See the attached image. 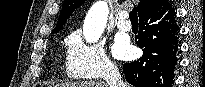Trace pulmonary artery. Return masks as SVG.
Here are the masks:
<instances>
[{"mask_svg": "<svg viewBox=\"0 0 205 87\" xmlns=\"http://www.w3.org/2000/svg\"><path fill=\"white\" fill-rule=\"evenodd\" d=\"M117 27L122 31H130L131 24L127 20V12L121 11L118 15Z\"/></svg>", "mask_w": 205, "mask_h": 87, "instance_id": "pulmonary-artery-1", "label": "pulmonary artery"}]
</instances>
